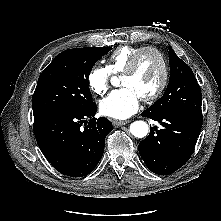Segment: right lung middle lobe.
I'll return each instance as SVG.
<instances>
[{"instance_id":"1","label":"right lung middle lobe","mask_w":221,"mask_h":221,"mask_svg":"<svg viewBox=\"0 0 221 221\" xmlns=\"http://www.w3.org/2000/svg\"><path fill=\"white\" fill-rule=\"evenodd\" d=\"M111 47L63 51L40 74L33 94L34 117L58 111H84L95 103L88 87L92 67Z\"/></svg>"}]
</instances>
